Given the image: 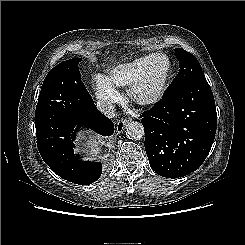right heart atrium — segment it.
Segmentation results:
<instances>
[{
  "instance_id": "d8ad5b80",
  "label": "right heart atrium",
  "mask_w": 245,
  "mask_h": 245,
  "mask_svg": "<svg viewBox=\"0 0 245 245\" xmlns=\"http://www.w3.org/2000/svg\"><path fill=\"white\" fill-rule=\"evenodd\" d=\"M96 91L98 98L104 103H110L118 98L116 89L102 76L96 77Z\"/></svg>"
}]
</instances>
